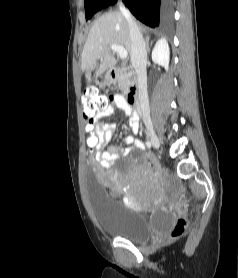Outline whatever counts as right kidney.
Instances as JSON below:
<instances>
[{"instance_id": "1", "label": "right kidney", "mask_w": 238, "mask_h": 278, "mask_svg": "<svg viewBox=\"0 0 238 278\" xmlns=\"http://www.w3.org/2000/svg\"><path fill=\"white\" fill-rule=\"evenodd\" d=\"M169 57H170V50L166 39H160L153 51H152V61L155 64L163 66L166 70H168L169 65Z\"/></svg>"}]
</instances>
